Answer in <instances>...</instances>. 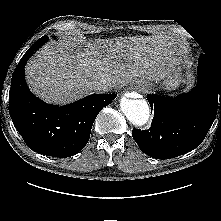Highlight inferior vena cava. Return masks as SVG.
Instances as JSON below:
<instances>
[{
    "instance_id": "inferior-vena-cava-1",
    "label": "inferior vena cava",
    "mask_w": 221,
    "mask_h": 221,
    "mask_svg": "<svg viewBox=\"0 0 221 221\" xmlns=\"http://www.w3.org/2000/svg\"><path fill=\"white\" fill-rule=\"evenodd\" d=\"M112 87H113L112 83L105 78H101L98 81L92 82L90 86L91 90L96 92L110 91Z\"/></svg>"
}]
</instances>
